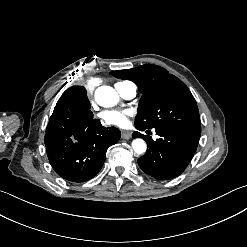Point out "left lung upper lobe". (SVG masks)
I'll return each mask as SVG.
<instances>
[{
	"mask_svg": "<svg viewBox=\"0 0 247 247\" xmlns=\"http://www.w3.org/2000/svg\"><path fill=\"white\" fill-rule=\"evenodd\" d=\"M110 74L133 81L142 93L135 118L136 128L172 129L200 138L197 103L188 87L176 76L153 64Z\"/></svg>",
	"mask_w": 247,
	"mask_h": 247,
	"instance_id": "1",
	"label": "left lung upper lobe"
}]
</instances>
